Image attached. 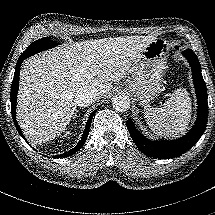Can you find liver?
Here are the masks:
<instances>
[{
    "label": "liver",
    "mask_w": 215,
    "mask_h": 215,
    "mask_svg": "<svg viewBox=\"0 0 215 215\" xmlns=\"http://www.w3.org/2000/svg\"><path fill=\"white\" fill-rule=\"evenodd\" d=\"M157 38L120 36L64 45L23 63L17 119L31 144L58 137L76 111L75 93L95 89L103 96L132 73L135 62Z\"/></svg>",
    "instance_id": "obj_1"
}]
</instances>
